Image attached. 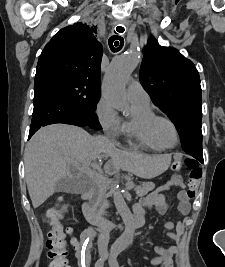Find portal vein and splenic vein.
Masks as SVG:
<instances>
[{
  "label": "portal vein and splenic vein",
  "instance_id": "1",
  "mask_svg": "<svg viewBox=\"0 0 225 267\" xmlns=\"http://www.w3.org/2000/svg\"><path fill=\"white\" fill-rule=\"evenodd\" d=\"M66 160H67V162L74 163L75 165H77V166H78V169H79L80 171H82V172H87V174H88L89 176H94V175H95V172L87 171L86 168H85L83 165L80 166L79 163H78V162H75L73 159L68 158V159H66ZM92 178H93V177H92Z\"/></svg>",
  "mask_w": 225,
  "mask_h": 267
}]
</instances>
